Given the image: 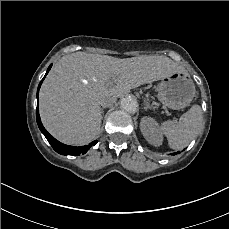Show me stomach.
Returning <instances> with one entry per match:
<instances>
[{"label":"stomach","mask_w":229,"mask_h":229,"mask_svg":"<svg viewBox=\"0 0 229 229\" xmlns=\"http://www.w3.org/2000/svg\"><path fill=\"white\" fill-rule=\"evenodd\" d=\"M195 96V85L186 73H174L163 78L157 90L160 105L173 110L187 107Z\"/></svg>","instance_id":"0dacf381"}]
</instances>
